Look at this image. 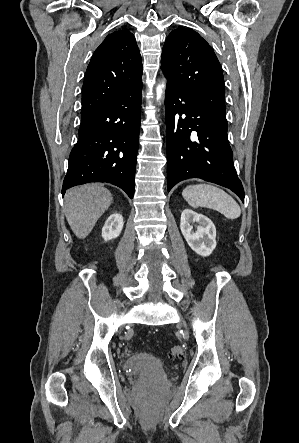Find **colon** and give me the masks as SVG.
Returning <instances> with one entry per match:
<instances>
[{
    "instance_id": "1",
    "label": "colon",
    "mask_w": 299,
    "mask_h": 443,
    "mask_svg": "<svg viewBox=\"0 0 299 443\" xmlns=\"http://www.w3.org/2000/svg\"><path fill=\"white\" fill-rule=\"evenodd\" d=\"M169 357L172 359H180L183 357V348L176 345L170 349Z\"/></svg>"
}]
</instances>
